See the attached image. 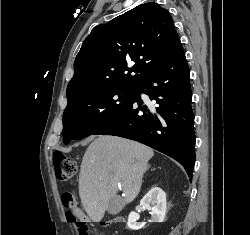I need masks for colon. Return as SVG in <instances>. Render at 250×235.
I'll return each mask as SVG.
<instances>
[{"mask_svg": "<svg viewBox=\"0 0 250 235\" xmlns=\"http://www.w3.org/2000/svg\"><path fill=\"white\" fill-rule=\"evenodd\" d=\"M53 165L55 175L58 181L65 182L73 179L78 171V166L75 160L65 156L62 153L53 154ZM62 202L67 208L72 210L67 211V217L75 222L80 235H89V226L86 222L75 221V214L73 208L75 207L74 196L71 193H64L62 195ZM122 222V219L116 218L108 221L109 224Z\"/></svg>", "mask_w": 250, "mask_h": 235, "instance_id": "5ec220e1", "label": "colon"}]
</instances>
